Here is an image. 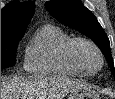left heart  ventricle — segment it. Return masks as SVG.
I'll return each mask as SVG.
<instances>
[{
  "instance_id": "b2bd125f",
  "label": "left heart ventricle",
  "mask_w": 115,
  "mask_h": 99,
  "mask_svg": "<svg viewBox=\"0 0 115 99\" xmlns=\"http://www.w3.org/2000/svg\"><path fill=\"white\" fill-rule=\"evenodd\" d=\"M76 57L78 62L89 72L98 69L100 59L96 51L89 45L80 43L76 46Z\"/></svg>"
}]
</instances>
